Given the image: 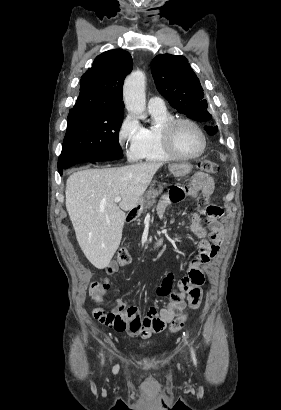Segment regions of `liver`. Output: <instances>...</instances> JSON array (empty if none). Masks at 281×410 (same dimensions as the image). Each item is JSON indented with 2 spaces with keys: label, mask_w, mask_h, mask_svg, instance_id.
Masks as SVG:
<instances>
[{
  "label": "liver",
  "mask_w": 281,
  "mask_h": 410,
  "mask_svg": "<svg viewBox=\"0 0 281 410\" xmlns=\"http://www.w3.org/2000/svg\"><path fill=\"white\" fill-rule=\"evenodd\" d=\"M160 162L137 163L73 173L66 183V209L78 244L98 269L107 267L118 249L125 211L139 202ZM121 196L119 205L114 201Z\"/></svg>",
  "instance_id": "obj_1"
}]
</instances>
